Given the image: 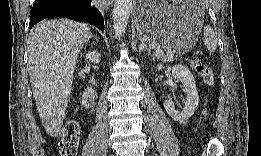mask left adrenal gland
Wrapping results in <instances>:
<instances>
[{
    "mask_svg": "<svg viewBox=\"0 0 261 156\" xmlns=\"http://www.w3.org/2000/svg\"><path fill=\"white\" fill-rule=\"evenodd\" d=\"M147 51L149 55H151V50L148 48L144 39H140L139 52Z\"/></svg>",
    "mask_w": 261,
    "mask_h": 156,
    "instance_id": "1",
    "label": "left adrenal gland"
}]
</instances>
